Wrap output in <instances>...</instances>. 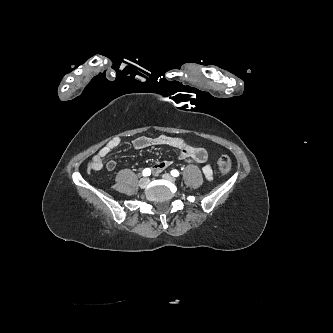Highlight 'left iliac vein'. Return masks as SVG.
I'll return each instance as SVG.
<instances>
[{"label":"left iliac vein","mask_w":333,"mask_h":333,"mask_svg":"<svg viewBox=\"0 0 333 333\" xmlns=\"http://www.w3.org/2000/svg\"><path fill=\"white\" fill-rule=\"evenodd\" d=\"M162 178L166 181H169V182H175V180H176L173 176H171L168 173L163 174Z\"/></svg>","instance_id":"4c4485c4"}]
</instances>
